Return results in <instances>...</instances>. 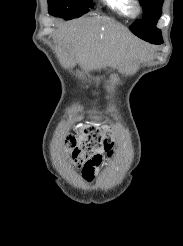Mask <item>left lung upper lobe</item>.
Listing matches in <instances>:
<instances>
[{
  "mask_svg": "<svg viewBox=\"0 0 183 246\" xmlns=\"http://www.w3.org/2000/svg\"><path fill=\"white\" fill-rule=\"evenodd\" d=\"M143 7V18L130 26V30L139 38L150 42L153 39H162L161 31L156 27L162 13L163 0H140Z\"/></svg>",
  "mask_w": 183,
  "mask_h": 246,
  "instance_id": "1",
  "label": "left lung upper lobe"
}]
</instances>
